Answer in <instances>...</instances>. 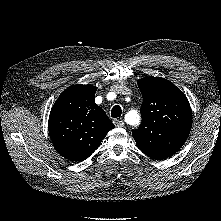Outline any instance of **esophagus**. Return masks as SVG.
I'll return each mask as SVG.
<instances>
[{
	"mask_svg": "<svg viewBox=\"0 0 221 221\" xmlns=\"http://www.w3.org/2000/svg\"><path fill=\"white\" fill-rule=\"evenodd\" d=\"M113 122L116 127H123L124 126V121L122 119H115Z\"/></svg>",
	"mask_w": 221,
	"mask_h": 221,
	"instance_id": "esophagus-1",
	"label": "esophagus"
}]
</instances>
